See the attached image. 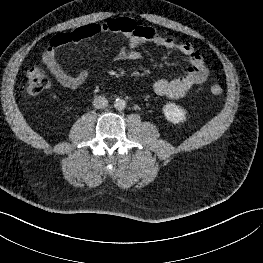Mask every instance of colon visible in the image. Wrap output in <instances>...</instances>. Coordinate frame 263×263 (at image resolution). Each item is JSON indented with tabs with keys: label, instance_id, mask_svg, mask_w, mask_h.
I'll use <instances>...</instances> for the list:
<instances>
[{
	"label": "colon",
	"instance_id": "colon-1",
	"mask_svg": "<svg viewBox=\"0 0 263 263\" xmlns=\"http://www.w3.org/2000/svg\"><path fill=\"white\" fill-rule=\"evenodd\" d=\"M51 85L48 73L41 67L34 66L27 72L26 89L28 93L37 95L47 90ZM213 96H220L224 89L219 83H213L209 87Z\"/></svg>",
	"mask_w": 263,
	"mask_h": 263
}]
</instances>
